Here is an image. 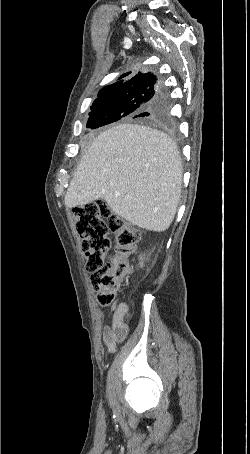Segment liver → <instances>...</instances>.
<instances>
[{"instance_id":"liver-1","label":"liver","mask_w":250,"mask_h":454,"mask_svg":"<svg viewBox=\"0 0 250 454\" xmlns=\"http://www.w3.org/2000/svg\"><path fill=\"white\" fill-rule=\"evenodd\" d=\"M182 176L179 151L166 133L120 124L94 139L73 174L65 205L104 199L133 225L163 232L176 214Z\"/></svg>"}]
</instances>
